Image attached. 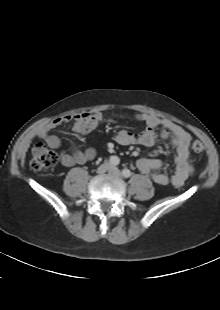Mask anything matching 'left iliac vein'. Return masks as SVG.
Masks as SVG:
<instances>
[{"label": "left iliac vein", "instance_id": "left-iliac-vein-1", "mask_svg": "<svg viewBox=\"0 0 220 310\" xmlns=\"http://www.w3.org/2000/svg\"><path fill=\"white\" fill-rule=\"evenodd\" d=\"M109 172L114 177H121V175H122L118 168L112 167V166L110 167Z\"/></svg>", "mask_w": 220, "mask_h": 310}]
</instances>
